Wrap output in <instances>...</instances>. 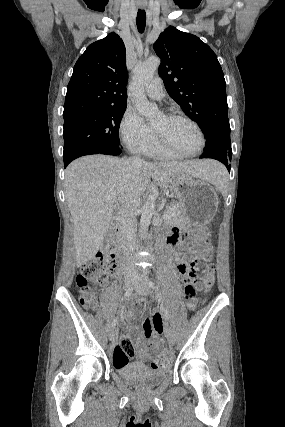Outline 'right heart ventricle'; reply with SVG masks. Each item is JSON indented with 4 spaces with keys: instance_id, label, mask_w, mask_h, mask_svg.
Wrapping results in <instances>:
<instances>
[{
    "instance_id": "1",
    "label": "right heart ventricle",
    "mask_w": 285,
    "mask_h": 427,
    "mask_svg": "<svg viewBox=\"0 0 285 427\" xmlns=\"http://www.w3.org/2000/svg\"><path fill=\"white\" fill-rule=\"evenodd\" d=\"M143 154L149 157L163 160H174L181 158V156L164 149L158 143L156 137L154 138L153 142L143 151Z\"/></svg>"
}]
</instances>
